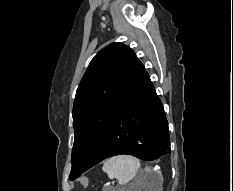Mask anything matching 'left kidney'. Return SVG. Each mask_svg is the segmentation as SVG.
<instances>
[{"instance_id": "5707ae66", "label": "left kidney", "mask_w": 233, "mask_h": 191, "mask_svg": "<svg viewBox=\"0 0 233 191\" xmlns=\"http://www.w3.org/2000/svg\"><path fill=\"white\" fill-rule=\"evenodd\" d=\"M139 184H141L142 186H148V188H150V186L148 185V181H147V179H141L140 181H139ZM160 185H161V183H159V182H157L156 184H155V188H157V191H159L158 190V188L160 187Z\"/></svg>"}]
</instances>
